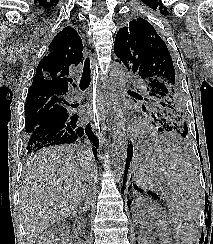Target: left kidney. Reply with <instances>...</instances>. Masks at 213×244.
<instances>
[{
	"label": "left kidney",
	"mask_w": 213,
	"mask_h": 244,
	"mask_svg": "<svg viewBox=\"0 0 213 244\" xmlns=\"http://www.w3.org/2000/svg\"><path fill=\"white\" fill-rule=\"evenodd\" d=\"M134 221L139 226L145 225L146 218H150L156 227L159 244H172L167 223L160 207L151 199L139 198L133 202ZM141 244H149L145 236L139 238Z\"/></svg>",
	"instance_id": "obj_1"
}]
</instances>
